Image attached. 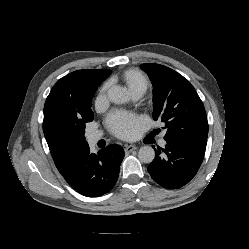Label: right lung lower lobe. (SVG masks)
I'll use <instances>...</instances> for the list:
<instances>
[{
    "label": "right lung lower lobe",
    "instance_id": "obj_1",
    "mask_svg": "<svg viewBox=\"0 0 249 249\" xmlns=\"http://www.w3.org/2000/svg\"><path fill=\"white\" fill-rule=\"evenodd\" d=\"M123 158L124 150L120 145H109L94 154L87 144L68 150L56 167L78 193L97 197L113 188Z\"/></svg>",
    "mask_w": 249,
    "mask_h": 249
}]
</instances>
